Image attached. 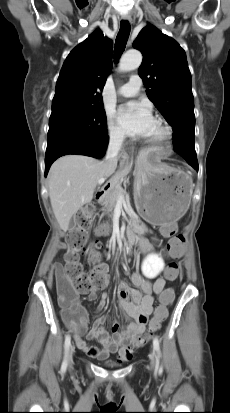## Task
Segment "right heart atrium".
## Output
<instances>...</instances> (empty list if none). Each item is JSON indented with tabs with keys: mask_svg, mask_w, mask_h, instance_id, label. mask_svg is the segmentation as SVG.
I'll use <instances>...</instances> for the list:
<instances>
[{
	"mask_svg": "<svg viewBox=\"0 0 230 413\" xmlns=\"http://www.w3.org/2000/svg\"><path fill=\"white\" fill-rule=\"evenodd\" d=\"M107 136L111 143L121 145L125 141V132L114 122L112 117H107L106 120Z\"/></svg>",
	"mask_w": 230,
	"mask_h": 413,
	"instance_id": "right-heart-atrium-1",
	"label": "right heart atrium"
}]
</instances>
